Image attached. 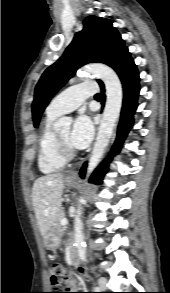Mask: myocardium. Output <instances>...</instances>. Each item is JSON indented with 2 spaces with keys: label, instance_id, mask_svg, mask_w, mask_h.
<instances>
[{
  "label": "myocardium",
  "instance_id": "1",
  "mask_svg": "<svg viewBox=\"0 0 170 293\" xmlns=\"http://www.w3.org/2000/svg\"><path fill=\"white\" fill-rule=\"evenodd\" d=\"M54 141H55V149L57 154L64 158L65 160H70L75 156L74 149L65 144L57 134V132L54 133Z\"/></svg>",
  "mask_w": 170,
  "mask_h": 293
}]
</instances>
